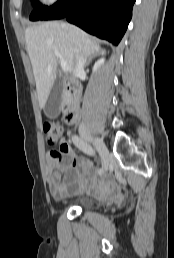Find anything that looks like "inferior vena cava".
Here are the masks:
<instances>
[{
	"instance_id": "inferior-vena-cava-1",
	"label": "inferior vena cava",
	"mask_w": 174,
	"mask_h": 258,
	"mask_svg": "<svg viewBox=\"0 0 174 258\" xmlns=\"http://www.w3.org/2000/svg\"><path fill=\"white\" fill-rule=\"evenodd\" d=\"M86 62V57L82 55L81 53L76 54L75 58V68H74V76L78 77L83 71H84V66ZM80 128H84V124H80Z\"/></svg>"
}]
</instances>
